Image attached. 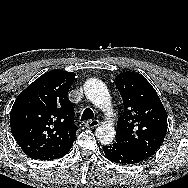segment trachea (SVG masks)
Returning <instances> with one entry per match:
<instances>
[{"mask_svg": "<svg viewBox=\"0 0 188 188\" xmlns=\"http://www.w3.org/2000/svg\"><path fill=\"white\" fill-rule=\"evenodd\" d=\"M93 117H94L93 111H92L90 108H86V109L83 111L81 120H82V121H84V120H90V119H92Z\"/></svg>", "mask_w": 188, "mask_h": 188, "instance_id": "trachea-1", "label": "trachea"}]
</instances>
